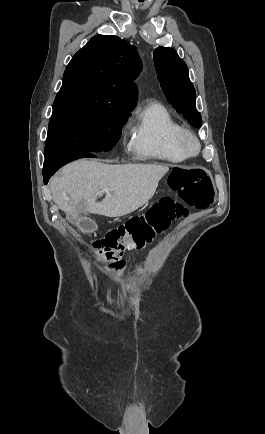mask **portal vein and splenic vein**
Instances as JSON below:
<instances>
[{
	"instance_id": "obj_1",
	"label": "portal vein and splenic vein",
	"mask_w": 265,
	"mask_h": 434,
	"mask_svg": "<svg viewBox=\"0 0 265 434\" xmlns=\"http://www.w3.org/2000/svg\"><path fill=\"white\" fill-rule=\"evenodd\" d=\"M101 192H110L109 188H103V190H101Z\"/></svg>"
}]
</instances>
